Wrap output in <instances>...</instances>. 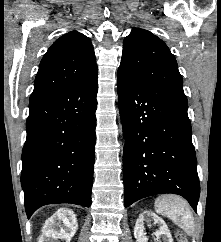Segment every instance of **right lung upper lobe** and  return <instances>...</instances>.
I'll return each instance as SVG.
<instances>
[{"mask_svg": "<svg viewBox=\"0 0 221 242\" xmlns=\"http://www.w3.org/2000/svg\"><path fill=\"white\" fill-rule=\"evenodd\" d=\"M95 73L90 39L70 31L57 39L42 58L30 100L70 90Z\"/></svg>", "mask_w": 221, "mask_h": 242, "instance_id": "right-lung-upper-lobe-1", "label": "right lung upper lobe"}]
</instances>
